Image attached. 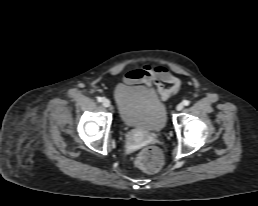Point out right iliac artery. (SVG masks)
Returning a JSON list of instances; mask_svg holds the SVG:
<instances>
[{
    "instance_id": "1",
    "label": "right iliac artery",
    "mask_w": 258,
    "mask_h": 206,
    "mask_svg": "<svg viewBox=\"0 0 258 206\" xmlns=\"http://www.w3.org/2000/svg\"><path fill=\"white\" fill-rule=\"evenodd\" d=\"M103 98L102 97H97L98 102H102Z\"/></svg>"
}]
</instances>
